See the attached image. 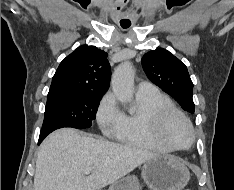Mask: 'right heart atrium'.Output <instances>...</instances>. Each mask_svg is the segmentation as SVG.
<instances>
[{
	"instance_id": "obj_1",
	"label": "right heart atrium",
	"mask_w": 234,
	"mask_h": 190,
	"mask_svg": "<svg viewBox=\"0 0 234 190\" xmlns=\"http://www.w3.org/2000/svg\"><path fill=\"white\" fill-rule=\"evenodd\" d=\"M122 119V111L119 109L115 96L108 92L100 100L96 110V120L101 131L113 136L117 133Z\"/></svg>"
}]
</instances>
